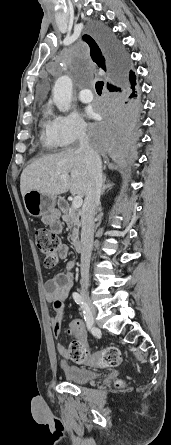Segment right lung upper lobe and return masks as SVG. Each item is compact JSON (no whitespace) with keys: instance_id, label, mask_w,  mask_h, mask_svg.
<instances>
[{"instance_id":"cb5924a9","label":"right lung upper lobe","mask_w":171,"mask_h":445,"mask_svg":"<svg viewBox=\"0 0 171 445\" xmlns=\"http://www.w3.org/2000/svg\"><path fill=\"white\" fill-rule=\"evenodd\" d=\"M84 41H86L90 47V55L92 60L102 69L108 70L109 75L111 78V84H108V87H112L116 84V81L118 79V73L116 72L115 68L112 66L110 60L108 59V56L98 39L95 41L92 37L89 35L83 36ZM133 72V71H132Z\"/></svg>"}]
</instances>
